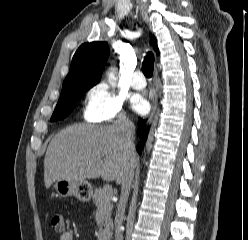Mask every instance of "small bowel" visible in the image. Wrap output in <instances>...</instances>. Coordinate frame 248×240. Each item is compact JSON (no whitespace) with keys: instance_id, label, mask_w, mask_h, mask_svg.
<instances>
[{"instance_id":"small-bowel-1","label":"small bowel","mask_w":248,"mask_h":240,"mask_svg":"<svg viewBox=\"0 0 248 240\" xmlns=\"http://www.w3.org/2000/svg\"><path fill=\"white\" fill-rule=\"evenodd\" d=\"M59 240H74V235L71 231L65 230L61 233Z\"/></svg>"}]
</instances>
